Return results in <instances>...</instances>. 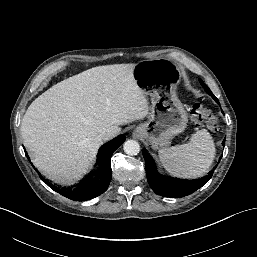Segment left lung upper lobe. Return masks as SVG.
<instances>
[{
    "label": "left lung upper lobe",
    "instance_id": "5c2ea615",
    "mask_svg": "<svg viewBox=\"0 0 257 257\" xmlns=\"http://www.w3.org/2000/svg\"><path fill=\"white\" fill-rule=\"evenodd\" d=\"M200 84L202 85V87L205 89V91L210 95V96H214L213 93L211 92V90L203 83L202 80H199ZM214 99V98H213Z\"/></svg>",
    "mask_w": 257,
    "mask_h": 257
}]
</instances>
